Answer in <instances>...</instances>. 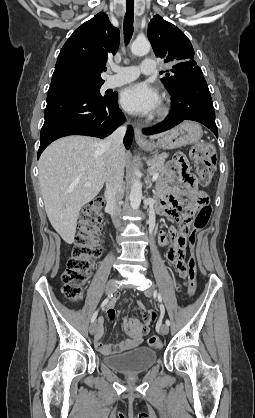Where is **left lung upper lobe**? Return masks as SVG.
I'll list each match as a JSON object with an SVG mask.
<instances>
[{
    "label": "left lung upper lobe",
    "mask_w": 255,
    "mask_h": 418,
    "mask_svg": "<svg viewBox=\"0 0 255 418\" xmlns=\"http://www.w3.org/2000/svg\"><path fill=\"white\" fill-rule=\"evenodd\" d=\"M148 39L156 57L164 59L170 69L161 71V79L171 94L183 81L201 75L202 70L194 61V49L185 34L173 24L155 15L148 27Z\"/></svg>",
    "instance_id": "5c2ea615"
}]
</instances>
